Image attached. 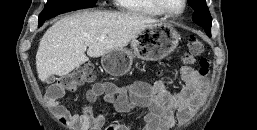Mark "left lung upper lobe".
Instances as JSON below:
<instances>
[{
	"instance_id": "1",
	"label": "left lung upper lobe",
	"mask_w": 257,
	"mask_h": 130,
	"mask_svg": "<svg viewBox=\"0 0 257 130\" xmlns=\"http://www.w3.org/2000/svg\"><path fill=\"white\" fill-rule=\"evenodd\" d=\"M188 2L195 11L192 17L193 21L204 27L206 34L210 36L212 18L208 11L206 0H189Z\"/></svg>"
}]
</instances>
